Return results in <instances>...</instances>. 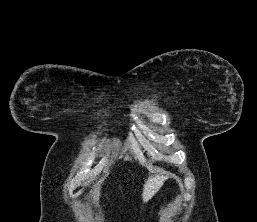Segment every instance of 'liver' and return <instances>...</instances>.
<instances>
[{"instance_id": "liver-1", "label": "liver", "mask_w": 257, "mask_h": 222, "mask_svg": "<svg viewBox=\"0 0 257 222\" xmlns=\"http://www.w3.org/2000/svg\"><path fill=\"white\" fill-rule=\"evenodd\" d=\"M166 179L163 175H156L149 177L144 184L143 188V202H147L156 192L159 186L163 183V181Z\"/></svg>"}]
</instances>
